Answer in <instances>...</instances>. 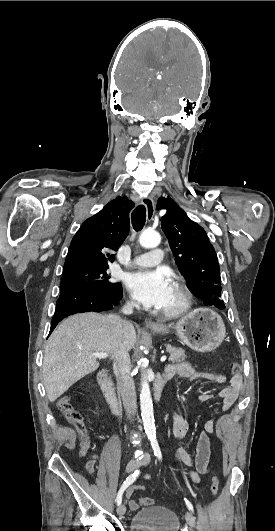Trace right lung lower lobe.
<instances>
[{
	"label": "right lung lower lobe",
	"instance_id": "obj_1",
	"mask_svg": "<svg viewBox=\"0 0 275 531\" xmlns=\"http://www.w3.org/2000/svg\"><path fill=\"white\" fill-rule=\"evenodd\" d=\"M123 296L122 288L119 286L115 291L99 293L91 287L80 285H69L60 289V296L57 300L56 310L52 319L49 334L57 326L58 322L69 315L82 312H101L109 310L113 305L118 304Z\"/></svg>",
	"mask_w": 275,
	"mask_h": 531
}]
</instances>
